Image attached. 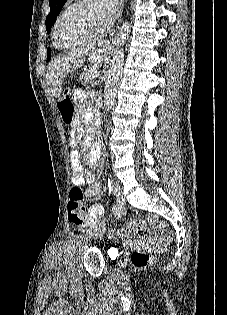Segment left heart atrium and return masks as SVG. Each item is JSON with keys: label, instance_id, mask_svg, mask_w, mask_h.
<instances>
[{"label": "left heart atrium", "instance_id": "39dd6f15", "mask_svg": "<svg viewBox=\"0 0 227 315\" xmlns=\"http://www.w3.org/2000/svg\"><path fill=\"white\" fill-rule=\"evenodd\" d=\"M102 15L106 21V26H108L115 17V14L119 10L121 0H96Z\"/></svg>", "mask_w": 227, "mask_h": 315}]
</instances>
